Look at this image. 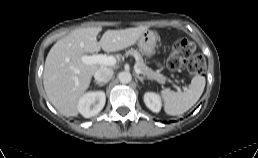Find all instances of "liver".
<instances>
[{"label": "liver", "mask_w": 258, "mask_h": 158, "mask_svg": "<svg viewBox=\"0 0 258 158\" xmlns=\"http://www.w3.org/2000/svg\"><path fill=\"white\" fill-rule=\"evenodd\" d=\"M147 27L107 30L100 41L101 27L79 28L58 40L50 49L44 66L43 84L52 105L65 116L78 114L79 99L89 88L95 72L102 64H85L81 57L96 53L123 50L133 45Z\"/></svg>", "instance_id": "obj_1"}]
</instances>
